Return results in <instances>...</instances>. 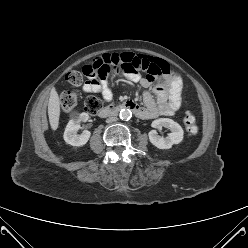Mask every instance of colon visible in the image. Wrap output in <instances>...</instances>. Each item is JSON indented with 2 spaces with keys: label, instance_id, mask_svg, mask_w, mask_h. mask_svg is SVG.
Listing matches in <instances>:
<instances>
[{
  "label": "colon",
  "instance_id": "1",
  "mask_svg": "<svg viewBox=\"0 0 248 248\" xmlns=\"http://www.w3.org/2000/svg\"><path fill=\"white\" fill-rule=\"evenodd\" d=\"M118 61L111 55L96 58L91 64L83 66L81 71L72 70L66 73L64 81L67 85H80L84 76L104 77L111 70L117 69ZM77 104V94L73 91H65L61 94L60 105L63 112H70ZM102 108L101 101L96 97H89L85 101V110L89 114H96ZM183 122L189 135L198 133V123L195 114L192 111H186Z\"/></svg>",
  "mask_w": 248,
  "mask_h": 248
}]
</instances>
